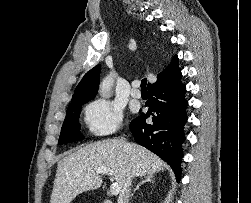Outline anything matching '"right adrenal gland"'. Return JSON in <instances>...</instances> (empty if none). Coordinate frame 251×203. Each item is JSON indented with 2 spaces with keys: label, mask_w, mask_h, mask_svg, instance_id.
Here are the masks:
<instances>
[{
  "label": "right adrenal gland",
  "mask_w": 251,
  "mask_h": 203,
  "mask_svg": "<svg viewBox=\"0 0 251 203\" xmlns=\"http://www.w3.org/2000/svg\"><path fill=\"white\" fill-rule=\"evenodd\" d=\"M146 182H150V183H154V175L153 174H147L142 178V181L136 186V188H134L133 192L131 193V197L134 196L136 190L139 189V187L146 183Z\"/></svg>",
  "instance_id": "obj_1"
}]
</instances>
